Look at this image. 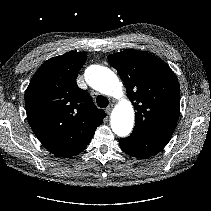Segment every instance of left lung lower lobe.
<instances>
[{
	"label": "left lung lower lobe",
	"mask_w": 211,
	"mask_h": 211,
	"mask_svg": "<svg viewBox=\"0 0 211 211\" xmlns=\"http://www.w3.org/2000/svg\"><path fill=\"white\" fill-rule=\"evenodd\" d=\"M170 140L169 137H156L141 134H131L121 138V149L136 158H147L160 152Z\"/></svg>",
	"instance_id": "left-lung-lower-lobe-1"
}]
</instances>
